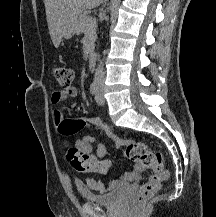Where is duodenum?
Here are the masks:
<instances>
[{"mask_svg": "<svg viewBox=\"0 0 216 217\" xmlns=\"http://www.w3.org/2000/svg\"><path fill=\"white\" fill-rule=\"evenodd\" d=\"M95 64H96V55H95V52L94 51H90V53H89V59H88L89 68L91 70L94 69Z\"/></svg>", "mask_w": 216, "mask_h": 217, "instance_id": "duodenum-1", "label": "duodenum"}]
</instances>
